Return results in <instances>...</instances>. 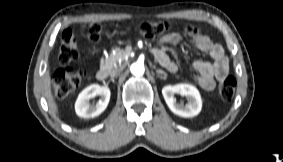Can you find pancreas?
Listing matches in <instances>:
<instances>
[{
  "mask_svg": "<svg viewBox=\"0 0 283 162\" xmlns=\"http://www.w3.org/2000/svg\"><path fill=\"white\" fill-rule=\"evenodd\" d=\"M127 51L125 50H116L115 53L106 57L102 60V65L105 66L109 71L113 70L117 67L119 61H123L125 55H127Z\"/></svg>",
  "mask_w": 283,
  "mask_h": 162,
  "instance_id": "cf45deb5",
  "label": "pancreas"
}]
</instances>
